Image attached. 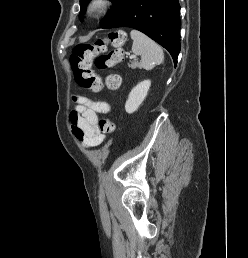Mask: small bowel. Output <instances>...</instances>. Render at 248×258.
Masks as SVG:
<instances>
[{"instance_id":"c3829d8e","label":"small bowel","mask_w":248,"mask_h":258,"mask_svg":"<svg viewBox=\"0 0 248 258\" xmlns=\"http://www.w3.org/2000/svg\"><path fill=\"white\" fill-rule=\"evenodd\" d=\"M120 80L119 77H115ZM78 105L70 115L72 133L83 148H95L105 140V135L99 128L98 114L110 110L108 103L93 100L84 96H76Z\"/></svg>"}]
</instances>
